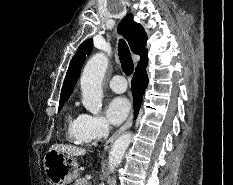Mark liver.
I'll list each match as a JSON object with an SVG mask.
<instances>
[{
  "instance_id": "liver-1",
  "label": "liver",
  "mask_w": 233,
  "mask_h": 185,
  "mask_svg": "<svg viewBox=\"0 0 233 185\" xmlns=\"http://www.w3.org/2000/svg\"><path fill=\"white\" fill-rule=\"evenodd\" d=\"M50 149H54L58 152L66 153L71 157L83 156L86 154V150L84 148H79L76 146L66 145V144H54L51 146Z\"/></svg>"
}]
</instances>
